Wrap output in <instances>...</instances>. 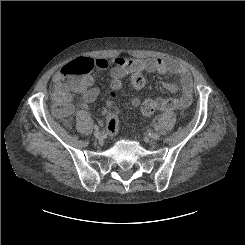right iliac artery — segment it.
Returning <instances> with one entry per match:
<instances>
[{"label":"right iliac artery","instance_id":"82829eb1","mask_svg":"<svg viewBox=\"0 0 245 245\" xmlns=\"http://www.w3.org/2000/svg\"><path fill=\"white\" fill-rule=\"evenodd\" d=\"M94 129H95V130H98V129H99V127H98L97 125H95V126H94Z\"/></svg>","mask_w":245,"mask_h":245}]
</instances>
